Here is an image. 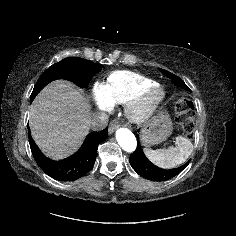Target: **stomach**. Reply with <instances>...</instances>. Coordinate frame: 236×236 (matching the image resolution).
Here are the masks:
<instances>
[{
  "instance_id": "0dacf381",
  "label": "stomach",
  "mask_w": 236,
  "mask_h": 236,
  "mask_svg": "<svg viewBox=\"0 0 236 236\" xmlns=\"http://www.w3.org/2000/svg\"><path fill=\"white\" fill-rule=\"evenodd\" d=\"M172 130L169 115L161 111L142 128L141 141L144 146L159 144L171 135Z\"/></svg>"
}]
</instances>
